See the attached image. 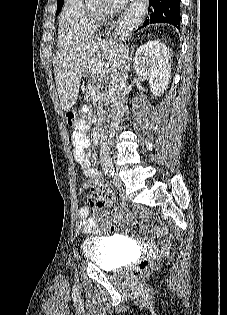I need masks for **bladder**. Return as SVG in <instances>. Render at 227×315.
<instances>
[{
	"label": "bladder",
	"mask_w": 227,
	"mask_h": 315,
	"mask_svg": "<svg viewBox=\"0 0 227 315\" xmlns=\"http://www.w3.org/2000/svg\"><path fill=\"white\" fill-rule=\"evenodd\" d=\"M84 257L103 270H114L124 265L129 248L115 237H91L82 245Z\"/></svg>",
	"instance_id": "1"
}]
</instances>
